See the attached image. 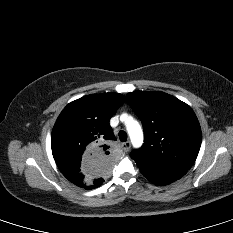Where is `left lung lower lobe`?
Returning a JSON list of instances; mask_svg holds the SVG:
<instances>
[{
	"label": "left lung lower lobe",
	"mask_w": 233,
	"mask_h": 233,
	"mask_svg": "<svg viewBox=\"0 0 233 233\" xmlns=\"http://www.w3.org/2000/svg\"><path fill=\"white\" fill-rule=\"evenodd\" d=\"M136 164L150 182L159 186L170 184L187 172V169L181 168H161L138 162Z\"/></svg>",
	"instance_id": "obj_1"
}]
</instances>
